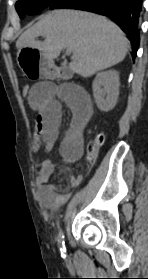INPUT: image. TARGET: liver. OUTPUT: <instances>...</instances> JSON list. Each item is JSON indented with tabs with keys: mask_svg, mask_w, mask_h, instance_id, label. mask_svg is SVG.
<instances>
[{
	"mask_svg": "<svg viewBox=\"0 0 148 279\" xmlns=\"http://www.w3.org/2000/svg\"><path fill=\"white\" fill-rule=\"evenodd\" d=\"M39 36L44 41H37ZM16 47L37 49L52 62L63 48H70L74 54L70 69L82 77H90L120 63L127 54L129 41L116 24L103 16L57 9L25 31Z\"/></svg>",
	"mask_w": 148,
	"mask_h": 279,
	"instance_id": "liver-1",
	"label": "liver"
}]
</instances>
